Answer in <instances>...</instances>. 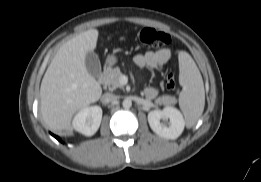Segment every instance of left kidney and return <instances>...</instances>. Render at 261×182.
<instances>
[{
  "label": "left kidney",
  "instance_id": "left-kidney-1",
  "mask_svg": "<svg viewBox=\"0 0 261 182\" xmlns=\"http://www.w3.org/2000/svg\"><path fill=\"white\" fill-rule=\"evenodd\" d=\"M148 122L153 132L163 138L172 140L177 139L185 127L182 113L172 106H166L163 110L149 112Z\"/></svg>",
  "mask_w": 261,
  "mask_h": 182
}]
</instances>
